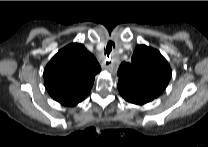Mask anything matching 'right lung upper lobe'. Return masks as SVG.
Wrapping results in <instances>:
<instances>
[{"label": "right lung upper lobe", "instance_id": "right-lung-upper-lobe-1", "mask_svg": "<svg viewBox=\"0 0 208 147\" xmlns=\"http://www.w3.org/2000/svg\"><path fill=\"white\" fill-rule=\"evenodd\" d=\"M101 71L96 58L78 43L62 48L44 69V82L50 96L65 106L84 100Z\"/></svg>", "mask_w": 208, "mask_h": 147}]
</instances>
